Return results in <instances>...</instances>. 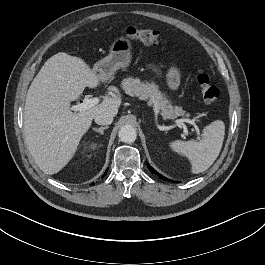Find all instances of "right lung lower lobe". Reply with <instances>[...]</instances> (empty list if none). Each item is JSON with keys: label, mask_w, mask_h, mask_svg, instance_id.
<instances>
[{"label": "right lung lower lobe", "mask_w": 265, "mask_h": 265, "mask_svg": "<svg viewBox=\"0 0 265 265\" xmlns=\"http://www.w3.org/2000/svg\"><path fill=\"white\" fill-rule=\"evenodd\" d=\"M107 174V171L104 173V175L102 176V178ZM94 184V183H93Z\"/></svg>", "instance_id": "1"}]
</instances>
